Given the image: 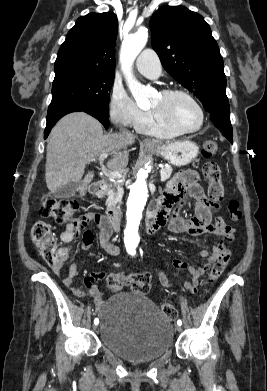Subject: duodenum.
Returning <instances> with one entry per match:
<instances>
[{"label":"duodenum","instance_id":"obj_1","mask_svg":"<svg viewBox=\"0 0 267 391\" xmlns=\"http://www.w3.org/2000/svg\"><path fill=\"white\" fill-rule=\"evenodd\" d=\"M106 183L103 180L95 181L91 187L90 192L95 196L102 195L106 190ZM107 224L112 231L119 230L120 211L117 208H111L106 213ZM164 225V218L159 212L155 210L147 218L146 230L148 233L156 232L161 226Z\"/></svg>","mask_w":267,"mask_h":391}]
</instances>
